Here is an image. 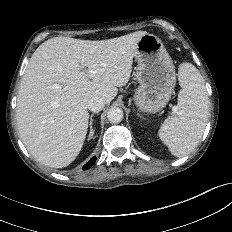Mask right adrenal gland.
I'll return each mask as SVG.
<instances>
[{
	"label": "right adrenal gland",
	"instance_id": "right-adrenal-gland-1",
	"mask_svg": "<svg viewBox=\"0 0 232 232\" xmlns=\"http://www.w3.org/2000/svg\"><path fill=\"white\" fill-rule=\"evenodd\" d=\"M93 116H94V114H92L91 116H90V124H89V128H90V131H89V139L93 136V134H94V130H93V127H92V125H93Z\"/></svg>",
	"mask_w": 232,
	"mask_h": 232
}]
</instances>
